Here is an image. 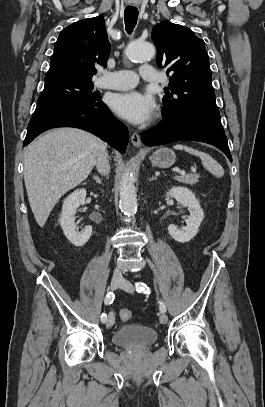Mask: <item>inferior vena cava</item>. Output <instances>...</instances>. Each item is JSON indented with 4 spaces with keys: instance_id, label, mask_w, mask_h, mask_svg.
Masks as SVG:
<instances>
[{
    "instance_id": "obj_1",
    "label": "inferior vena cava",
    "mask_w": 265,
    "mask_h": 407,
    "mask_svg": "<svg viewBox=\"0 0 265 407\" xmlns=\"http://www.w3.org/2000/svg\"><path fill=\"white\" fill-rule=\"evenodd\" d=\"M96 167H97L98 171L101 172V173H107L110 170L107 153L102 155L97 160ZM113 275L116 278H122V274H121V271L119 269H115Z\"/></svg>"
}]
</instances>
